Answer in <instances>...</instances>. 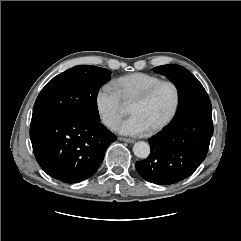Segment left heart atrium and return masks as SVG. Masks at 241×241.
<instances>
[{
  "label": "left heart atrium",
  "instance_id": "left-heart-atrium-1",
  "mask_svg": "<svg viewBox=\"0 0 241 241\" xmlns=\"http://www.w3.org/2000/svg\"><path fill=\"white\" fill-rule=\"evenodd\" d=\"M115 129L121 134L132 136L142 135L149 130L141 117L135 114H131L128 118L121 121Z\"/></svg>",
  "mask_w": 241,
  "mask_h": 241
}]
</instances>
